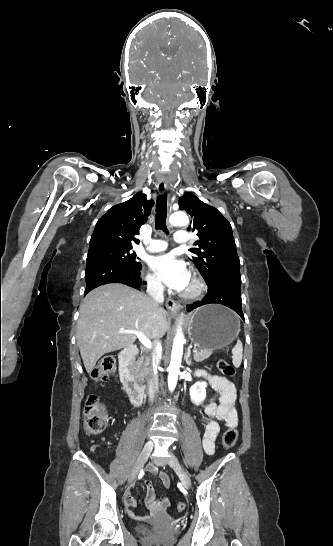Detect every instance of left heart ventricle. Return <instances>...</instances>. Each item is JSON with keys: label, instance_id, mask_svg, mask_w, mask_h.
<instances>
[{"label": "left heart ventricle", "instance_id": "1", "mask_svg": "<svg viewBox=\"0 0 333 546\" xmlns=\"http://www.w3.org/2000/svg\"><path fill=\"white\" fill-rule=\"evenodd\" d=\"M191 286H192V285H191V283H189V285H188L187 289L191 288Z\"/></svg>", "mask_w": 333, "mask_h": 546}]
</instances>
